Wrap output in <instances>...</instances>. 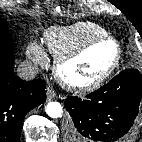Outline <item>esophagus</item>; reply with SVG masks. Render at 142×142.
Returning <instances> with one entry per match:
<instances>
[{
  "label": "esophagus",
  "mask_w": 142,
  "mask_h": 142,
  "mask_svg": "<svg viewBox=\"0 0 142 142\" xmlns=\"http://www.w3.org/2000/svg\"><path fill=\"white\" fill-rule=\"evenodd\" d=\"M54 97H55V92H54L52 89L48 88V89H47V99L50 101V100H52Z\"/></svg>",
  "instance_id": "esophagus-1"
}]
</instances>
